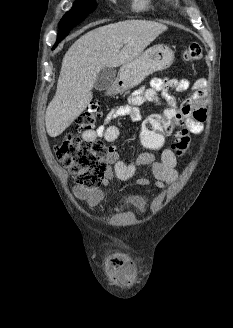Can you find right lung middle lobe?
Returning <instances> with one entry per match:
<instances>
[{
    "label": "right lung middle lobe",
    "instance_id": "1",
    "mask_svg": "<svg viewBox=\"0 0 233 328\" xmlns=\"http://www.w3.org/2000/svg\"><path fill=\"white\" fill-rule=\"evenodd\" d=\"M96 5L95 0H76L73 8L63 16L59 24L80 23L95 10Z\"/></svg>",
    "mask_w": 233,
    "mask_h": 328
}]
</instances>
